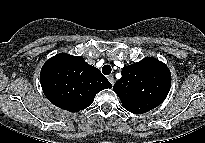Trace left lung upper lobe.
I'll list each match as a JSON object with an SVG mask.
<instances>
[{
	"label": "left lung upper lobe",
	"mask_w": 205,
	"mask_h": 143,
	"mask_svg": "<svg viewBox=\"0 0 205 143\" xmlns=\"http://www.w3.org/2000/svg\"><path fill=\"white\" fill-rule=\"evenodd\" d=\"M121 75L113 90L123 107L135 114L145 113L160 105L170 90L168 67L153 57L124 67Z\"/></svg>",
	"instance_id": "5c2ea615"
}]
</instances>
